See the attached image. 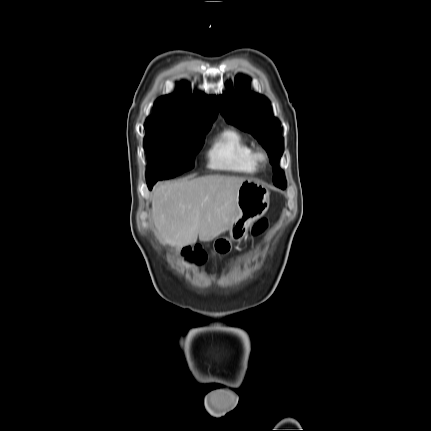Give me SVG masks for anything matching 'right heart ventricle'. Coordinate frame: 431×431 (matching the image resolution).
<instances>
[{
    "mask_svg": "<svg viewBox=\"0 0 431 431\" xmlns=\"http://www.w3.org/2000/svg\"><path fill=\"white\" fill-rule=\"evenodd\" d=\"M253 154L254 147L243 133L225 129L213 140L208 151V166L215 170L255 174L260 166Z\"/></svg>",
    "mask_w": 431,
    "mask_h": 431,
    "instance_id": "right-heart-ventricle-1",
    "label": "right heart ventricle"
}]
</instances>
